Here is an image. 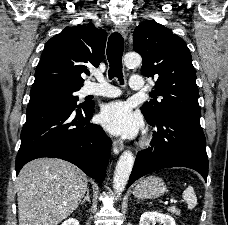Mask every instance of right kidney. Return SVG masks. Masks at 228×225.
<instances>
[{"label": "right kidney", "instance_id": "1", "mask_svg": "<svg viewBox=\"0 0 228 225\" xmlns=\"http://www.w3.org/2000/svg\"><path fill=\"white\" fill-rule=\"evenodd\" d=\"M62 225H79L77 219H67Z\"/></svg>", "mask_w": 228, "mask_h": 225}]
</instances>
